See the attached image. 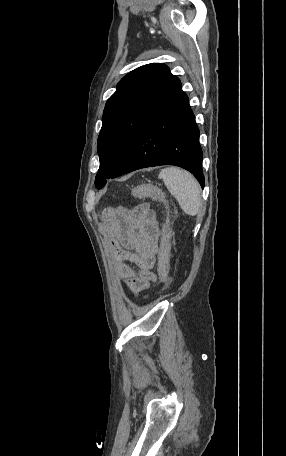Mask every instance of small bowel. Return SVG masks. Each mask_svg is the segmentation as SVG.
Here are the masks:
<instances>
[{"label":"small bowel","mask_w":286,"mask_h":456,"mask_svg":"<svg viewBox=\"0 0 286 456\" xmlns=\"http://www.w3.org/2000/svg\"><path fill=\"white\" fill-rule=\"evenodd\" d=\"M104 223L114 273L123 279L130 292L146 290L156 280L152 271L158 252L156 212L148 204H139L131 210H109Z\"/></svg>","instance_id":"obj_1"}]
</instances>
